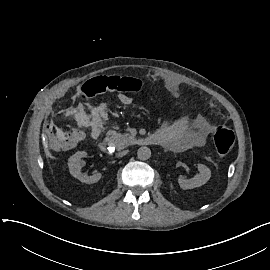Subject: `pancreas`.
<instances>
[{"instance_id":"1","label":"pancreas","mask_w":270,"mask_h":270,"mask_svg":"<svg viewBox=\"0 0 270 270\" xmlns=\"http://www.w3.org/2000/svg\"><path fill=\"white\" fill-rule=\"evenodd\" d=\"M111 139L114 140V145L118 150L124 149L125 147L129 146L130 140L132 139V136L130 134L125 133V134H120L114 132L111 135Z\"/></svg>"}]
</instances>
